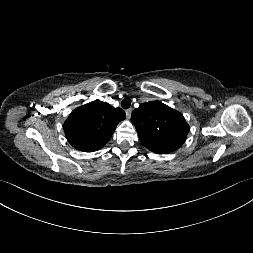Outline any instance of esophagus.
<instances>
[{
    "mask_svg": "<svg viewBox=\"0 0 253 253\" xmlns=\"http://www.w3.org/2000/svg\"><path fill=\"white\" fill-rule=\"evenodd\" d=\"M132 109H127L126 110V116L129 119L131 117Z\"/></svg>",
    "mask_w": 253,
    "mask_h": 253,
    "instance_id": "1",
    "label": "esophagus"
}]
</instances>
